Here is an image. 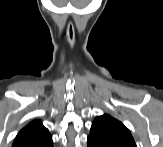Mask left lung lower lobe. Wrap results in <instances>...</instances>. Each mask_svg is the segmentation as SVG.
<instances>
[{
    "label": "left lung lower lobe",
    "instance_id": "obj_1",
    "mask_svg": "<svg viewBox=\"0 0 163 147\" xmlns=\"http://www.w3.org/2000/svg\"><path fill=\"white\" fill-rule=\"evenodd\" d=\"M88 147H137L135 142L126 138L107 137L90 133Z\"/></svg>",
    "mask_w": 163,
    "mask_h": 147
}]
</instances>
